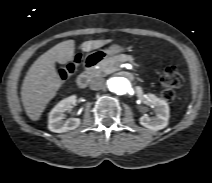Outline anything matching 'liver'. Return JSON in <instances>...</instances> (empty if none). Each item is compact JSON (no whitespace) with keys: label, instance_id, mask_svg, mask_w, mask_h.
I'll use <instances>...</instances> for the list:
<instances>
[{"label":"liver","instance_id":"1","mask_svg":"<svg viewBox=\"0 0 212 183\" xmlns=\"http://www.w3.org/2000/svg\"><path fill=\"white\" fill-rule=\"evenodd\" d=\"M107 40H89L81 44L84 52L102 47ZM75 41L58 43L42 54L29 68L21 88V99L27 116L36 121L47 104L57 95L62 81L55 62L66 64L74 58Z\"/></svg>","mask_w":212,"mask_h":183}]
</instances>
